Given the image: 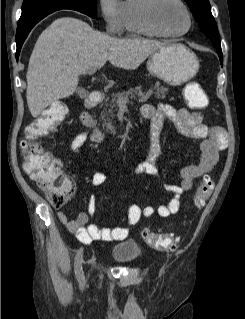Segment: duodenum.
<instances>
[{"label":"duodenum","mask_w":245,"mask_h":319,"mask_svg":"<svg viewBox=\"0 0 245 319\" xmlns=\"http://www.w3.org/2000/svg\"><path fill=\"white\" fill-rule=\"evenodd\" d=\"M103 100V96L100 91L93 90L90 92L84 102V111L81 114V122L84 126L89 128L92 132L91 139L94 143L98 144L102 141L103 135L97 126V123L90 113V110L99 105Z\"/></svg>","instance_id":"410a0bca"}]
</instances>
